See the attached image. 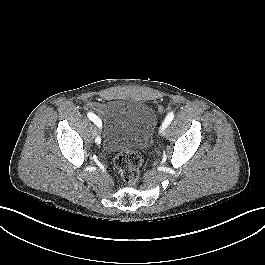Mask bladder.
Returning <instances> with one entry per match:
<instances>
[{
  "mask_svg": "<svg viewBox=\"0 0 265 265\" xmlns=\"http://www.w3.org/2000/svg\"><path fill=\"white\" fill-rule=\"evenodd\" d=\"M157 122L155 110L145 102L115 99L107 103L104 120L105 150L127 152L147 149Z\"/></svg>",
  "mask_w": 265,
  "mask_h": 265,
  "instance_id": "1",
  "label": "bladder"
}]
</instances>
